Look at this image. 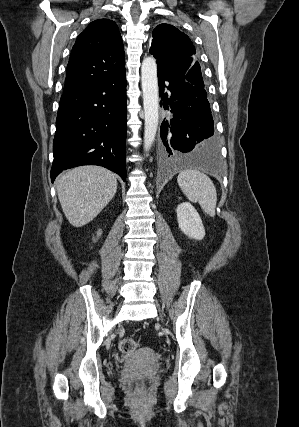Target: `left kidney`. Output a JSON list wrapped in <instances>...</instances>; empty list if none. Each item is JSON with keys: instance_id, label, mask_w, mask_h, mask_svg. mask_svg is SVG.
Returning a JSON list of instances; mask_svg holds the SVG:
<instances>
[{"instance_id": "1", "label": "left kidney", "mask_w": 299, "mask_h": 427, "mask_svg": "<svg viewBox=\"0 0 299 427\" xmlns=\"http://www.w3.org/2000/svg\"><path fill=\"white\" fill-rule=\"evenodd\" d=\"M177 220L180 230L189 238L202 240L205 229L196 209L189 203L183 202L177 207Z\"/></svg>"}]
</instances>
